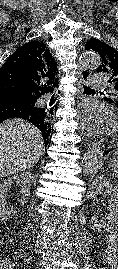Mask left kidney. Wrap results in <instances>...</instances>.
<instances>
[{"label":"left kidney","instance_id":"obj_1","mask_svg":"<svg viewBox=\"0 0 118 269\" xmlns=\"http://www.w3.org/2000/svg\"><path fill=\"white\" fill-rule=\"evenodd\" d=\"M104 191L108 194V214L106 219L91 218L94 229L98 232L105 233L112 229L118 222V186L111 184L104 176H98L92 183L89 190V197L97 199V195Z\"/></svg>","mask_w":118,"mask_h":269}]
</instances>
